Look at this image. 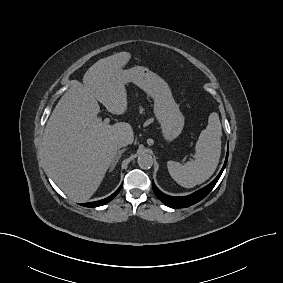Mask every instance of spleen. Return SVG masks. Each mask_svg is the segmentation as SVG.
<instances>
[{
    "label": "spleen",
    "instance_id": "1",
    "mask_svg": "<svg viewBox=\"0 0 283 283\" xmlns=\"http://www.w3.org/2000/svg\"><path fill=\"white\" fill-rule=\"evenodd\" d=\"M222 128L216 112L209 115L207 127L201 131L195 146V159L184 165L168 161L173 180L185 188H192L208 180L215 172L221 154Z\"/></svg>",
    "mask_w": 283,
    "mask_h": 283
}]
</instances>
